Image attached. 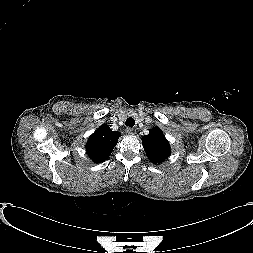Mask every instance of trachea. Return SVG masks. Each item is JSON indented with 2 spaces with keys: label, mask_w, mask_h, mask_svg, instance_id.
<instances>
[{
  "label": "trachea",
  "mask_w": 253,
  "mask_h": 253,
  "mask_svg": "<svg viewBox=\"0 0 253 253\" xmlns=\"http://www.w3.org/2000/svg\"><path fill=\"white\" fill-rule=\"evenodd\" d=\"M125 124L128 127H133L135 125V120L132 117H129L127 118Z\"/></svg>",
  "instance_id": "1"
}]
</instances>
